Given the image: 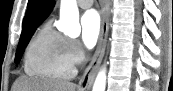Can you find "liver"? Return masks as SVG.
I'll use <instances>...</instances> for the list:
<instances>
[{"label": "liver", "instance_id": "1", "mask_svg": "<svg viewBox=\"0 0 173 91\" xmlns=\"http://www.w3.org/2000/svg\"><path fill=\"white\" fill-rule=\"evenodd\" d=\"M12 91H76V85L63 80H41L21 76L15 81Z\"/></svg>", "mask_w": 173, "mask_h": 91}]
</instances>
